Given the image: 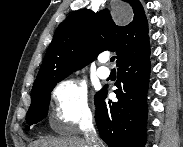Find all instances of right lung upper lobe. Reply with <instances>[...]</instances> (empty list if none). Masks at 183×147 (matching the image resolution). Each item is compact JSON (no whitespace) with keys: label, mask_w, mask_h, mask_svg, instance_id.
Instances as JSON below:
<instances>
[{"label":"right lung upper lobe","mask_w":183,"mask_h":147,"mask_svg":"<svg viewBox=\"0 0 183 147\" xmlns=\"http://www.w3.org/2000/svg\"><path fill=\"white\" fill-rule=\"evenodd\" d=\"M134 13L131 23L119 26L108 10L94 13L81 9L71 13L57 27L33 84L32 91L66 78L92 62L99 53L116 52L117 65L150 50L148 24L138 0L127 1Z\"/></svg>","instance_id":"cb5924a9"}]
</instances>
